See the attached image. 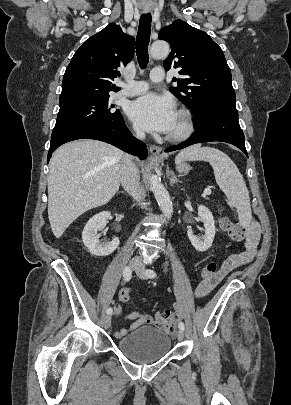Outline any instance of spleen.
Returning a JSON list of instances; mask_svg holds the SVG:
<instances>
[{"label": "spleen", "mask_w": 291, "mask_h": 405, "mask_svg": "<svg viewBox=\"0 0 291 405\" xmlns=\"http://www.w3.org/2000/svg\"><path fill=\"white\" fill-rule=\"evenodd\" d=\"M186 160L209 162L219 188L225 193L229 204L236 208L240 223L247 224L251 220L248 189L239 169L227 154L216 148L194 145L182 150L176 156L175 163L179 164Z\"/></svg>", "instance_id": "3e777b00"}]
</instances>
